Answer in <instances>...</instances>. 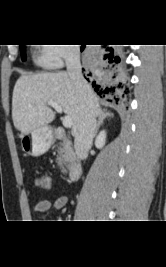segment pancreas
I'll list each match as a JSON object with an SVG mask.
<instances>
[{
    "instance_id": "cf45deb5",
    "label": "pancreas",
    "mask_w": 166,
    "mask_h": 267,
    "mask_svg": "<svg viewBox=\"0 0 166 267\" xmlns=\"http://www.w3.org/2000/svg\"><path fill=\"white\" fill-rule=\"evenodd\" d=\"M75 157L73 148L69 140L65 139L60 143L58 148V156L56 159L57 165L62 173H66L67 169L74 163Z\"/></svg>"
}]
</instances>
